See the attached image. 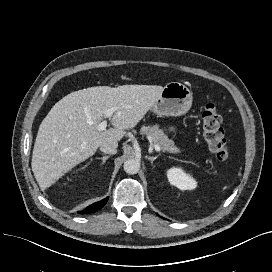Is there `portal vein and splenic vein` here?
<instances>
[{
    "mask_svg": "<svg viewBox=\"0 0 272 272\" xmlns=\"http://www.w3.org/2000/svg\"><path fill=\"white\" fill-rule=\"evenodd\" d=\"M118 108L114 107V108H107L105 110V118H111L113 113L117 110ZM107 127V120H103L102 122H100L98 124V130L99 131H103L105 130ZM153 147L154 149L157 151V152H160L161 151V148L158 144H153Z\"/></svg>",
    "mask_w": 272,
    "mask_h": 272,
    "instance_id": "portal-vein-and-splenic-vein-1",
    "label": "portal vein and splenic vein"
}]
</instances>
